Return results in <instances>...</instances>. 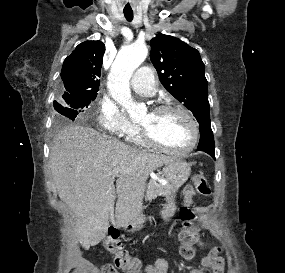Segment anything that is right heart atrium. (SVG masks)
Wrapping results in <instances>:
<instances>
[{
    "label": "right heart atrium",
    "mask_w": 285,
    "mask_h": 273,
    "mask_svg": "<svg viewBox=\"0 0 285 273\" xmlns=\"http://www.w3.org/2000/svg\"><path fill=\"white\" fill-rule=\"evenodd\" d=\"M98 123L101 128L120 137H130L137 132V126L130 122L111 102L102 100L99 104Z\"/></svg>",
    "instance_id": "obj_1"
}]
</instances>
